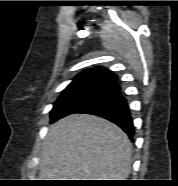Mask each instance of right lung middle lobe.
I'll return each mask as SVG.
<instances>
[{
	"instance_id": "1",
	"label": "right lung middle lobe",
	"mask_w": 178,
	"mask_h": 186,
	"mask_svg": "<svg viewBox=\"0 0 178 186\" xmlns=\"http://www.w3.org/2000/svg\"><path fill=\"white\" fill-rule=\"evenodd\" d=\"M110 87L109 85H83L65 89L51 110V122L74 113Z\"/></svg>"
}]
</instances>
